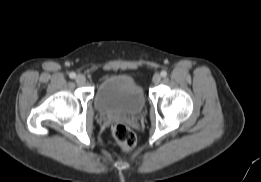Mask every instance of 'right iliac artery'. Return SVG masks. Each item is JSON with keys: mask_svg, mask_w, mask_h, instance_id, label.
Instances as JSON below:
<instances>
[{"mask_svg": "<svg viewBox=\"0 0 261 182\" xmlns=\"http://www.w3.org/2000/svg\"><path fill=\"white\" fill-rule=\"evenodd\" d=\"M69 77H70V78H75V77H76V74H75L74 72H71V73L69 74Z\"/></svg>", "mask_w": 261, "mask_h": 182, "instance_id": "obj_1", "label": "right iliac artery"}]
</instances>
